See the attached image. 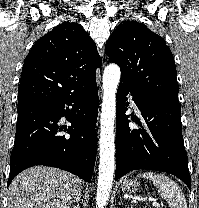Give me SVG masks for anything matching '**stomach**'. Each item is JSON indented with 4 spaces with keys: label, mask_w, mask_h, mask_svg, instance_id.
<instances>
[{
    "label": "stomach",
    "mask_w": 199,
    "mask_h": 208,
    "mask_svg": "<svg viewBox=\"0 0 199 208\" xmlns=\"http://www.w3.org/2000/svg\"><path fill=\"white\" fill-rule=\"evenodd\" d=\"M140 184L135 179H124L121 182V190L124 193L132 194L138 191Z\"/></svg>",
    "instance_id": "obj_1"
}]
</instances>
